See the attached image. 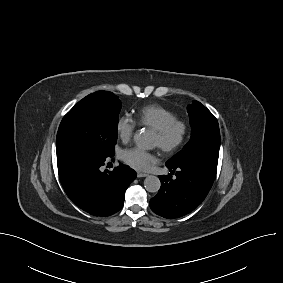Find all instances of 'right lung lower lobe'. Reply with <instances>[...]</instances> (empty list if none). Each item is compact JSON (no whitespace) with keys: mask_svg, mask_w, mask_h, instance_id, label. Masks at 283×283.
I'll return each mask as SVG.
<instances>
[{"mask_svg":"<svg viewBox=\"0 0 283 283\" xmlns=\"http://www.w3.org/2000/svg\"><path fill=\"white\" fill-rule=\"evenodd\" d=\"M85 151H71L57 158L64 191L79 208L94 216H111L124 204L125 190L136 172L120 163L113 171H102L105 160Z\"/></svg>","mask_w":283,"mask_h":283,"instance_id":"98d812e1","label":"right lung lower lobe"}]
</instances>
